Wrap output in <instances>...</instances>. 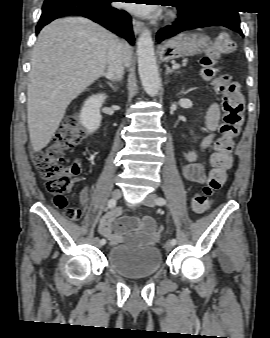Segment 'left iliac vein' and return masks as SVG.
<instances>
[{
    "label": "left iliac vein",
    "instance_id": "1",
    "mask_svg": "<svg viewBox=\"0 0 270 338\" xmlns=\"http://www.w3.org/2000/svg\"><path fill=\"white\" fill-rule=\"evenodd\" d=\"M157 199V195L150 193L146 196V198L143 200V204L149 207H154L155 206V202ZM174 245L171 242H167L165 244V249L167 251H171L173 249Z\"/></svg>",
    "mask_w": 270,
    "mask_h": 338
}]
</instances>
